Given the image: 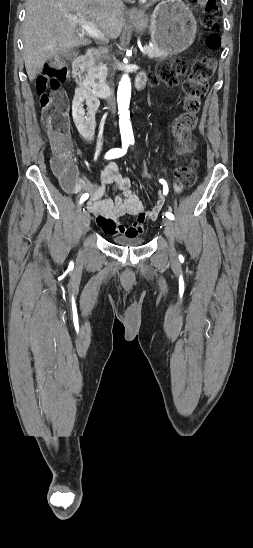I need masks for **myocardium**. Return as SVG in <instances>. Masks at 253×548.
I'll return each mask as SVG.
<instances>
[{
    "label": "myocardium",
    "mask_w": 253,
    "mask_h": 548,
    "mask_svg": "<svg viewBox=\"0 0 253 548\" xmlns=\"http://www.w3.org/2000/svg\"><path fill=\"white\" fill-rule=\"evenodd\" d=\"M143 1H147V0H143ZM149 1H159V0H149Z\"/></svg>",
    "instance_id": "obj_1"
}]
</instances>
